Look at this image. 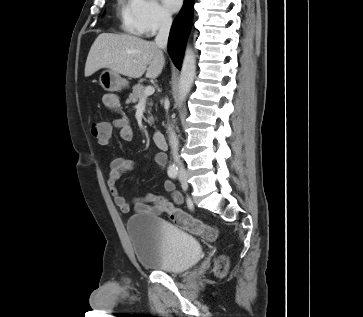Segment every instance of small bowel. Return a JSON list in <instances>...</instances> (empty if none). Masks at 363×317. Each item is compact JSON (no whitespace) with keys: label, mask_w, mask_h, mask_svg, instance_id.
I'll return each mask as SVG.
<instances>
[{"label":"small bowel","mask_w":363,"mask_h":317,"mask_svg":"<svg viewBox=\"0 0 363 317\" xmlns=\"http://www.w3.org/2000/svg\"><path fill=\"white\" fill-rule=\"evenodd\" d=\"M102 102L109 110L119 112L120 101L116 94H105L102 97ZM114 130L118 131L119 137L123 141H131L134 137L133 129L128 120L124 116H119L109 123H104L102 133L95 136L98 139L99 144L102 146L109 145ZM154 160L160 168L165 166L166 160L163 155H156ZM137 165L138 163L136 161L124 157H116L110 162L107 185L115 204L123 213H128L133 208L138 213L160 216L168 213L169 206L179 205L183 202V195L174 190V185L170 181L164 182V189L170 193L171 201L153 193H147L140 197H136L132 201L126 200L117 188V180L124 172L136 168Z\"/></svg>","instance_id":"small-bowel-1"}]
</instances>
